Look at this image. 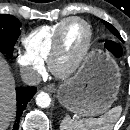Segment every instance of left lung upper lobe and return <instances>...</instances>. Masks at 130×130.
<instances>
[{"mask_svg": "<svg viewBox=\"0 0 130 130\" xmlns=\"http://www.w3.org/2000/svg\"><path fill=\"white\" fill-rule=\"evenodd\" d=\"M102 22L106 25V27L112 32V34H114L115 36H117L119 39L122 40L120 34L118 33V31L108 22L102 20Z\"/></svg>", "mask_w": 130, "mask_h": 130, "instance_id": "5c2ea615", "label": "left lung upper lobe"}]
</instances>
